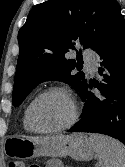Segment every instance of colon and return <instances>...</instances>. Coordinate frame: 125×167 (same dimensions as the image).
Listing matches in <instances>:
<instances>
[{
    "instance_id": "colon-1",
    "label": "colon",
    "mask_w": 125,
    "mask_h": 167,
    "mask_svg": "<svg viewBox=\"0 0 125 167\" xmlns=\"http://www.w3.org/2000/svg\"><path fill=\"white\" fill-rule=\"evenodd\" d=\"M8 167H39L38 165L27 166L24 160L21 159H12L10 160Z\"/></svg>"
}]
</instances>
